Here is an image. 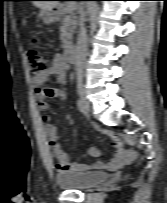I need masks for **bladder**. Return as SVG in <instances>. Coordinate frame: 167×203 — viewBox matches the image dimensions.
<instances>
[{
	"label": "bladder",
	"mask_w": 167,
	"mask_h": 203,
	"mask_svg": "<svg viewBox=\"0 0 167 203\" xmlns=\"http://www.w3.org/2000/svg\"><path fill=\"white\" fill-rule=\"evenodd\" d=\"M109 174L102 171H72L64 170L54 175L56 184L65 189H81L106 182Z\"/></svg>",
	"instance_id": "31cf9c89"
}]
</instances>
